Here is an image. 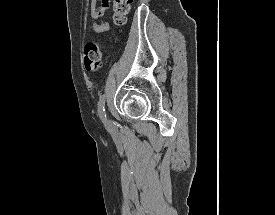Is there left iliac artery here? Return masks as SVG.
I'll list each match as a JSON object with an SVG mask.
<instances>
[{
	"instance_id": "obj_1",
	"label": "left iliac artery",
	"mask_w": 275,
	"mask_h": 215,
	"mask_svg": "<svg viewBox=\"0 0 275 215\" xmlns=\"http://www.w3.org/2000/svg\"><path fill=\"white\" fill-rule=\"evenodd\" d=\"M98 114L99 117L105 121L106 120V113H105V95L102 94L100 96L99 102H98Z\"/></svg>"
}]
</instances>
